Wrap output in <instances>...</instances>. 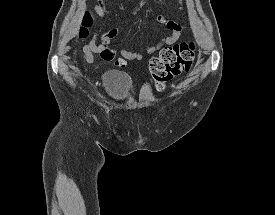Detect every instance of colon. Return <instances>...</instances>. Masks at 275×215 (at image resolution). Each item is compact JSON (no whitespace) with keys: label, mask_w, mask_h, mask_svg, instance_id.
<instances>
[{"label":"colon","mask_w":275,"mask_h":215,"mask_svg":"<svg viewBox=\"0 0 275 215\" xmlns=\"http://www.w3.org/2000/svg\"><path fill=\"white\" fill-rule=\"evenodd\" d=\"M93 25V18L90 13H86L79 35L84 38L88 34V29ZM195 60V45L192 41H181L172 46L161 49L159 54L149 62V70L152 74L155 86L159 90H164L167 83L174 77L190 71ZM117 65L126 66L124 59H118Z\"/></svg>","instance_id":"colon-1"}]
</instances>
